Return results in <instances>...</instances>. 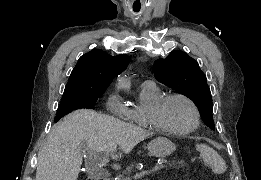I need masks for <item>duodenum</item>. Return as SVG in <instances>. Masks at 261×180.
<instances>
[{"label": "duodenum", "mask_w": 261, "mask_h": 180, "mask_svg": "<svg viewBox=\"0 0 261 180\" xmlns=\"http://www.w3.org/2000/svg\"><path fill=\"white\" fill-rule=\"evenodd\" d=\"M86 180H109L107 173H92V177H86Z\"/></svg>", "instance_id": "410a0bca"}]
</instances>
